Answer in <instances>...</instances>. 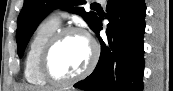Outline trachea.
I'll return each mask as SVG.
<instances>
[{"mask_svg": "<svg viewBox=\"0 0 173 91\" xmlns=\"http://www.w3.org/2000/svg\"><path fill=\"white\" fill-rule=\"evenodd\" d=\"M91 7H100L98 3H92Z\"/></svg>", "mask_w": 173, "mask_h": 91, "instance_id": "trachea-1", "label": "trachea"}]
</instances>
